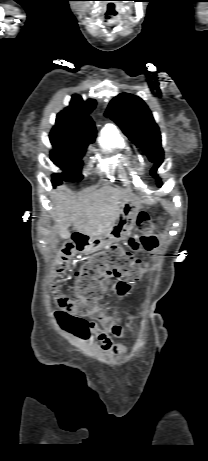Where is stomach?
Segmentation results:
<instances>
[{"label":"stomach","mask_w":208,"mask_h":461,"mask_svg":"<svg viewBox=\"0 0 208 461\" xmlns=\"http://www.w3.org/2000/svg\"><path fill=\"white\" fill-rule=\"evenodd\" d=\"M139 207L132 200H123L116 221L106 233L91 237L84 247L85 253H92L103 249L114 242H119L128 236L130 229L135 225Z\"/></svg>","instance_id":"stomach-1"}]
</instances>
